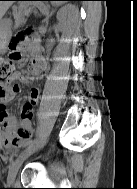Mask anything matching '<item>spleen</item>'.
Returning <instances> with one entry per match:
<instances>
[{"instance_id": "3e777b00", "label": "spleen", "mask_w": 137, "mask_h": 189, "mask_svg": "<svg viewBox=\"0 0 137 189\" xmlns=\"http://www.w3.org/2000/svg\"><path fill=\"white\" fill-rule=\"evenodd\" d=\"M59 3H61V2H54V4H59Z\"/></svg>"}]
</instances>
